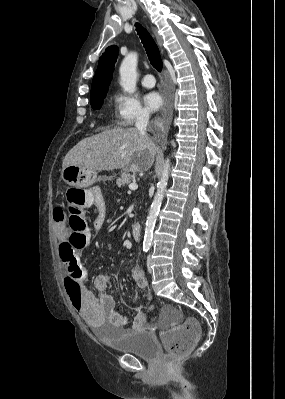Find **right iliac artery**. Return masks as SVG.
Returning <instances> with one entry per match:
<instances>
[{
  "mask_svg": "<svg viewBox=\"0 0 285 399\" xmlns=\"http://www.w3.org/2000/svg\"><path fill=\"white\" fill-rule=\"evenodd\" d=\"M148 250H149V248H143V251L145 252V253H147L148 252Z\"/></svg>",
  "mask_w": 285,
  "mask_h": 399,
  "instance_id": "82829eb1",
  "label": "right iliac artery"
}]
</instances>
